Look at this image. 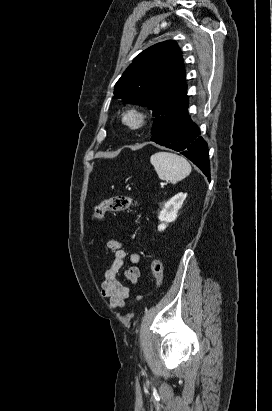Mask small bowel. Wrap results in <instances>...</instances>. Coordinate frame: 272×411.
Masks as SVG:
<instances>
[{
	"mask_svg": "<svg viewBox=\"0 0 272 411\" xmlns=\"http://www.w3.org/2000/svg\"><path fill=\"white\" fill-rule=\"evenodd\" d=\"M106 248L113 252V256L101 283L102 295L109 299L110 308H125L127 307L125 300L129 296L130 288L118 278V275L128 257L132 265L124 271V278L132 284L137 285L141 274L137 266L140 261V255L127 243L120 240H109L106 243ZM140 299L141 296H138L136 301L130 305H134Z\"/></svg>",
	"mask_w": 272,
	"mask_h": 411,
	"instance_id": "obj_1",
	"label": "small bowel"
}]
</instances>
